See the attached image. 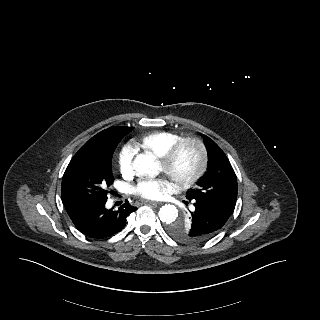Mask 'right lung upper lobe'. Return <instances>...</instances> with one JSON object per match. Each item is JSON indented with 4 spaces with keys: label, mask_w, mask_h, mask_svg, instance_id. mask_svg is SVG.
<instances>
[{
    "label": "right lung upper lobe",
    "mask_w": 320,
    "mask_h": 320,
    "mask_svg": "<svg viewBox=\"0 0 320 320\" xmlns=\"http://www.w3.org/2000/svg\"><path fill=\"white\" fill-rule=\"evenodd\" d=\"M133 130V127H115L112 126L108 129H105L98 133L97 136L98 138L103 137H124L126 134H128L130 131Z\"/></svg>",
    "instance_id": "right-lung-upper-lobe-1"
}]
</instances>
